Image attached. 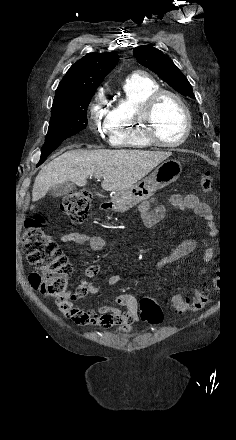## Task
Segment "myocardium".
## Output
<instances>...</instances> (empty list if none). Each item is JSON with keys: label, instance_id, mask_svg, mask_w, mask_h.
<instances>
[{"label": "myocardium", "instance_id": "obj_1", "mask_svg": "<svg viewBox=\"0 0 236 440\" xmlns=\"http://www.w3.org/2000/svg\"><path fill=\"white\" fill-rule=\"evenodd\" d=\"M165 96L173 98L180 105L185 116V129L183 135L180 139L173 142L161 140L158 137L156 129L154 115L155 109L160 99ZM139 118L143 125V134L145 138L149 143L157 147H177L182 145L188 139L192 129V117L187 104L179 94L168 89H158L148 96L142 106Z\"/></svg>", "mask_w": 236, "mask_h": 440}]
</instances>
